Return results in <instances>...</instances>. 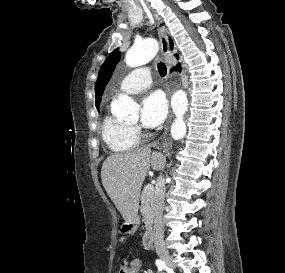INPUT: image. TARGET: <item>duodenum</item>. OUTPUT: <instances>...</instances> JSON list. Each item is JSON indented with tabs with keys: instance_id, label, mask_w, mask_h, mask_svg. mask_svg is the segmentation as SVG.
I'll list each match as a JSON object with an SVG mask.
<instances>
[{
	"instance_id": "duodenum-1",
	"label": "duodenum",
	"mask_w": 285,
	"mask_h": 273,
	"mask_svg": "<svg viewBox=\"0 0 285 273\" xmlns=\"http://www.w3.org/2000/svg\"><path fill=\"white\" fill-rule=\"evenodd\" d=\"M154 234L152 229L146 231L143 236V244L146 248H149L153 244Z\"/></svg>"
}]
</instances>
